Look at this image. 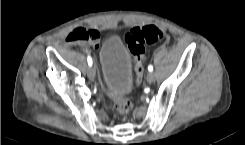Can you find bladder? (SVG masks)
<instances>
[{
  "mask_svg": "<svg viewBox=\"0 0 245 145\" xmlns=\"http://www.w3.org/2000/svg\"><path fill=\"white\" fill-rule=\"evenodd\" d=\"M101 77L107 90L122 96L132 88L131 55L119 36L107 38L100 50Z\"/></svg>",
  "mask_w": 245,
  "mask_h": 145,
  "instance_id": "31cf9c89",
  "label": "bladder"
}]
</instances>
